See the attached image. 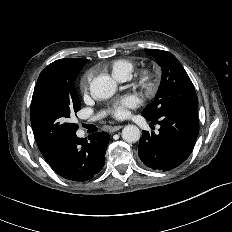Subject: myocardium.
I'll return each mask as SVG.
<instances>
[{"label": "myocardium", "instance_id": "f54148a6", "mask_svg": "<svg viewBox=\"0 0 232 232\" xmlns=\"http://www.w3.org/2000/svg\"><path fill=\"white\" fill-rule=\"evenodd\" d=\"M137 86L145 93H152L157 87L155 73L150 69H143L136 79Z\"/></svg>", "mask_w": 232, "mask_h": 232}]
</instances>
